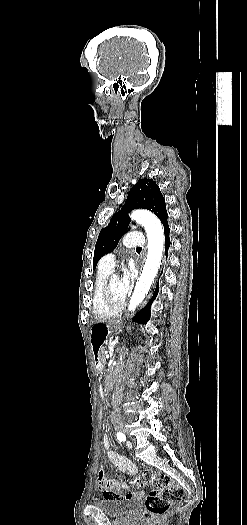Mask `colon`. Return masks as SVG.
Instances as JSON below:
<instances>
[{"mask_svg": "<svg viewBox=\"0 0 247 525\" xmlns=\"http://www.w3.org/2000/svg\"><path fill=\"white\" fill-rule=\"evenodd\" d=\"M108 421L101 417L97 420L99 430L106 427ZM145 485L155 486L146 496L147 512L145 516L156 520H163L168 516L170 504L175 501L184 500L186 491L179 486L173 484L172 480L163 472H154L144 470L139 474V478H133L131 481H139Z\"/></svg>", "mask_w": 247, "mask_h": 525, "instance_id": "1", "label": "colon"}]
</instances>
